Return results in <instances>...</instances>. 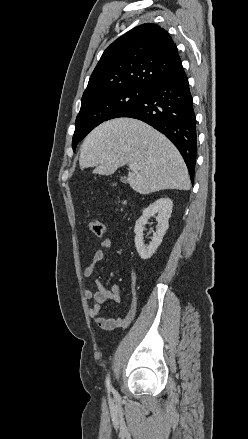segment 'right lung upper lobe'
<instances>
[{
  "label": "right lung upper lobe",
  "instance_id": "right-lung-upper-lobe-1",
  "mask_svg": "<svg viewBox=\"0 0 248 439\" xmlns=\"http://www.w3.org/2000/svg\"><path fill=\"white\" fill-rule=\"evenodd\" d=\"M182 69L177 46L169 33L158 25L145 23L107 47L90 76L81 102L123 88L148 90Z\"/></svg>",
  "mask_w": 248,
  "mask_h": 439
}]
</instances>
